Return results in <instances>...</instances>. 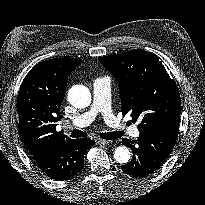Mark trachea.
Masks as SVG:
<instances>
[{"label":"trachea","mask_w":205,"mask_h":205,"mask_svg":"<svg viewBox=\"0 0 205 205\" xmlns=\"http://www.w3.org/2000/svg\"><path fill=\"white\" fill-rule=\"evenodd\" d=\"M123 134L124 133L120 131L102 133L101 138L106 139V140H115V139L122 137ZM70 136L73 138H82V137H86L87 133L81 130H73Z\"/></svg>","instance_id":"3493384b"}]
</instances>
